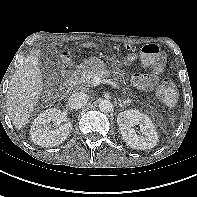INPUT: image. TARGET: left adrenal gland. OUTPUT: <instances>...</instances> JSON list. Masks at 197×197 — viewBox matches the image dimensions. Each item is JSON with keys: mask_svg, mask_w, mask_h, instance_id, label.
<instances>
[{"mask_svg": "<svg viewBox=\"0 0 197 197\" xmlns=\"http://www.w3.org/2000/svg\"><path fill=\"white\" fill-rule=\"evenodd\" d=\"M131 101H132L131 99L123 100V101L119 100V102H120V103H119V106H120V107H124V106L130 104Z\"/></svg>", "mask_w": 197, "mask_h": 197, "instance_id": "obj_1", "label": "left adrenal gland"}]
</instances>
